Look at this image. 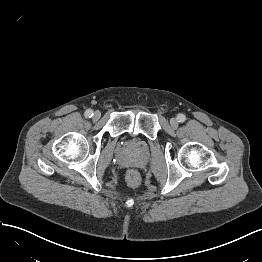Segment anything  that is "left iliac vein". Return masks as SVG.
Listing matches in <instances>:
<instances>
[{"label": "left iliac vein", "mask_w": 262, "mask_h": 262, "mask_svg": "<svg viewBox=\"0 0 262 262\" xmlns=\"http://www.w3.org/2000/svg\"><path fill=\"white\" fill-rule=\"evenodd\" d=\"M170 124H171L172 128H177L178 125H179V122H178V120L176 118H172L170 120Z\"/></svg>", "instance_id": "left-iliac-vein-1"}]
</instances>
